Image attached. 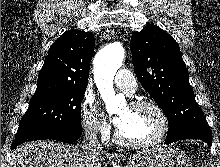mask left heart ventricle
Returning <instances> with one entry per match:
<instances>
[{
    "label": "left heart ventricle",
    "mask_w": 220,
    "mask_h": 167,
    "mask_svg": "<svg viewBox=\"0 0 220 167\" xmlns=\"http://www.w3.org/2000/svg\"><path fill=\"white\" fill-rule=\"evenodd\" d=\"M119 130L124 138L142 141L154 137L160 129L157 113L150 108L125 107L119 111Z\"/></svg>",
    "instance_id": "obj_1"
}]
</instances>
